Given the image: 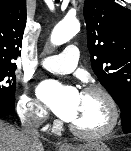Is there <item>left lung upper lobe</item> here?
Listing matches in <instances>:
<instances>
[{"instance_id": "5c2ea615", "label": "left lung upper lobe", "mask_w": 131, "mask_h": 151, "mask_svg": "<svg viewBox=\"0 0 131 151\" xmlns=\"http://www.w3.org/2000/svg\"><path fill=\"white\" fill-rule=\"evenodd\" d=\"M84 18L92 69L131 133V11L113 0H85Z\"/></svg>"}]
</instances>
